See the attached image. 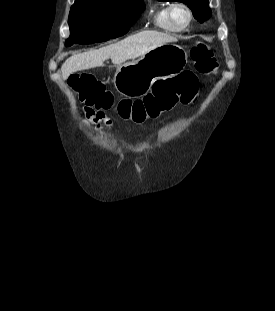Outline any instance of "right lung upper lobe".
Returning <instances> with one entry per match:
<instances>
[{
	"instance_id": "right-lung-upper-lobe-1",
	"label": "right lung upper lobe",
	"mask_w": 275,
	"mask_h": 311,
	"mask_svg": "<svg viewBox=\"0 0 275 311\" xmlns=\"http://www.w3.org/2000/svg\"><path fill=\"white\" fill-rule=\"evenodd\" d=\"M84 1H89V0H75V2H84Z\"/></svg>"
}]
</instances>
